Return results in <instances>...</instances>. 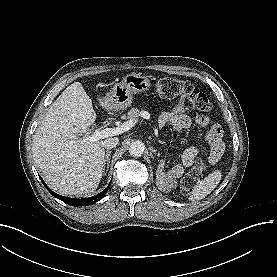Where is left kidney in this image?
I'll return each mask as SVG.
<instances>
[{
	"label": "left kidney",
	"instance_id": "left-kidney-1",
	"mask_svg": "<svg viewBox=\"0 0 277 277\" xmlns=\"http://www.w3.org/2000/svg\"><path fill=\"white\" fill-rule=\"evenodd\" d=\"M164 166H165V161L162 160L157 169L156 182H157V185L161 187V189L166 190L173 187L172 179L175 176L172 171L165 173Z\"/></svg>",
	"mask_w": 277,
	"mask_h": 277
}]
</instances>
